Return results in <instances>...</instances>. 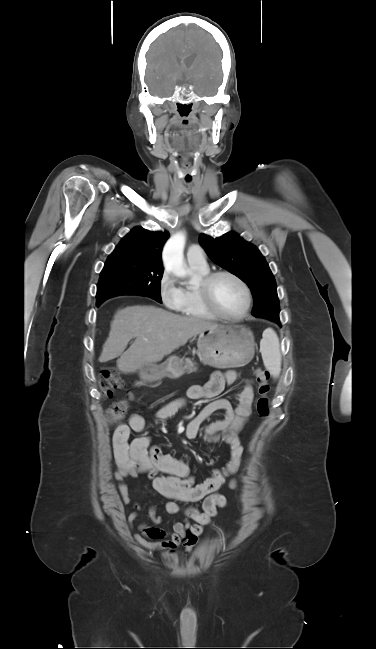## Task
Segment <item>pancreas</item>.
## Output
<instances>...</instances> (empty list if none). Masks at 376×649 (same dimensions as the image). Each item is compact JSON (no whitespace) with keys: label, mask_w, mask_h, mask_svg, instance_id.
Here are the masks:
<instances>
[{"label":"pancreas","mask_w":376,"mask_h":649,"mask_svg":"<svg viewBox=\"0 0 376 649\" xmlns=\"http://www.w3.org/2000/svg\"><path fill=\"white\" fill-rule=\"evenodd\" d=\"M186 372L188 374L195 372L197 368L194 366V363L191 360H186V366H185Z\"/></svg>","instance_id":"pancreas-1"}]
</instances>
